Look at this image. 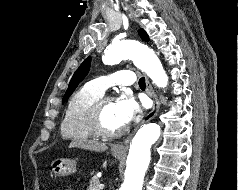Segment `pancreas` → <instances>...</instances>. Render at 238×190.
<instances>
[{
	"mask_svg": "<svg viewBox=\"0 0 238 190\" xmlns=\"http://www.w3.org/2000/svg\"><path fill=\"white\" fill-rule=\"evenodd\" d=\"M87 190H100V180L98 177L94 176L90 182Z\"/></svg>",
	"mask_w": 238,
	"mask_h": 190,
	"instance_id": "obj_1",
	"label": "pancreas"
}]
</instances>
